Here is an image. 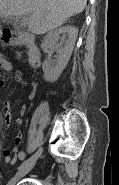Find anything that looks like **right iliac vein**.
<instances>
[{"label":"right iliac vein","instance_id":"obj_1","mask_svg":"<svg viewBox=\"0 0 119 185\" xmlns=\"http://www.w3.org/2000/svg\"><path fill=\"white\" fill-rule=\"evenodd\" d=\"M38 159V158H37ZM37 159H35L34 161L28 163L27 165H25L23 168H21L16 175L9 181L8 185H16V183L23 177L25 176L30 170H32V168L34 167V165L37 162Z\"/></svg>","mask_w":119,"mask_h":185}]
</instances>
